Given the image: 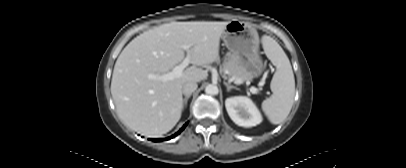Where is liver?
Segmentation results:
<instances>
[{
	"instance_id": "obj_1",
	"label": "liver",
	"mask_w": 406,
	"mask_h": 168,
	"mask_svg": "<svg viewBox=\"0 0 406 168\" xmlns=\"http://www.w3.org/2000/svg\"><path fill=\"white\" fill-rule=\"evenodd\" d=\"M229 22H171L134 38L120 53L114 66L111 94L121 121L147 137H161L180 120L182 86L208 77L199 65L219 58L220 38ZM187 56L192 66L181 77L162 81L158 77Z\"/></svg>"
}]
</instances>
